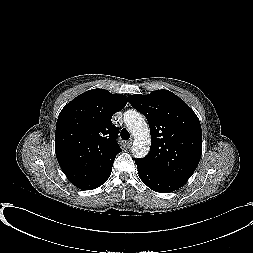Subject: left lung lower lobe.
<instances>
[{"label": "left lung lower lobe", "mask_w": 253, "mask_h": 253, "mask_svg": "<svg viewBox=\"0 0 253 253\" xmlns=\"http://www.w3.org/2000/svg\"><path fill=\"white\" fill-rule=\"evenodd\" d=\"M140 179L145 185L159 193H168L179 189L184 184L165 177L148 168L140 159L135 160Z\"/></svg>", "instance_id": "obj_1"}]
</instances>
